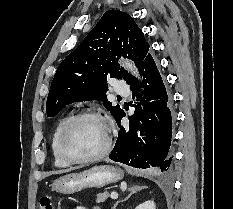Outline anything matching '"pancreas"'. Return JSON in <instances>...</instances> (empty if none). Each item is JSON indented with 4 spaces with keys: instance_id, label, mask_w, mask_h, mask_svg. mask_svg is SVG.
<instances>
[{
    "instance_id": "pancreas-1",
    "label": "pancreas",
    "mask_w": 233,
    "mask_h": 209,
    "mask_svg": "<svg viewBox=\"0 0 233 209\" xmlns=\"http://www.w3.org/2000/svg\"><path fill=\"white\" fill-rule=\"evenodd\" d=\"M109 194L108 193H99L97 195V200L96 202L97 203H100V202H105V200L108 198ZM94 209H99V207H94Z\"/></svg>"
}]
</instances>
